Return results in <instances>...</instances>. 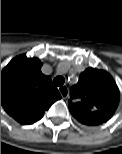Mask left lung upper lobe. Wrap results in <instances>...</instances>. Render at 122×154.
I'll list each match as a JSON object with an SVG mask.
<instances>
[{
  "instance_id": "obj_1",
  "label": "left lung upper lobe",
  "mask_w": 122,
  "mask_h": 154,
  "mask_svg": "<svg viewBox=\"0 0 122 154\" xmlns=\"http://www.w3.org/2000/svg\"><path fill=\"white\" fill-rule=\"evenodd\" d=\"M119 89L112 76L103 70L87 68L70 91L71 114L84 125L101 123L105 111L114 113L119 103Z\"/></svg>"
}]
</instances>
